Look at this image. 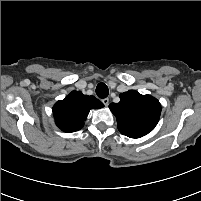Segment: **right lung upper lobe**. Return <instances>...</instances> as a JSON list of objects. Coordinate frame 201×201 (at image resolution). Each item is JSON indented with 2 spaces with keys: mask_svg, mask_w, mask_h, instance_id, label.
I'll use <instances>...</instances> for the list:
<instances>
[{
  "mask_svg": "<svg viewBox=\"0 0 201 201\" xmlns=\"http://www.w3.org/2000/svg\"><path fill=\"white\" fill-rule=\"evenodd\" d=\"M104 104L94 96L83 95L80 91H72L63 100L53 106L56 125L64 132H74L84 126L91 109L102 108Z\"/></svg>",
  "mask_w": 201,
  "mask_h": 201,
  "instance_id": "right-lung-upper-lobe-1",
  "label": "right lung upper lobe"
}]
</instances>
